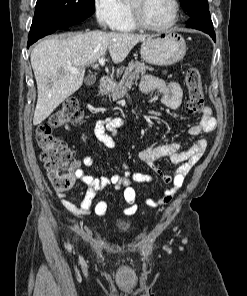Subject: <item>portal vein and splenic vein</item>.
Wrapping results in <instances>:
<instances>
[{
  "label": "portal vein and splenic vein",
  "instance_id": "obj_1",
  "mask_svg": "<svg viewBox=\"0 0 247 296\" xmlns=\"http://www.w3.org/2000/svg\"><path fill=\"white\" fill-rule=\"evenodd\" d=\"M98 61H99L100 65H102V66L105 65V59L103 57L99 58ZM69 71L72 73H77L79 70L76 68H70Z\"/></svg>",
  "mask_w": 247,
  "mask_h": 296
}]
</instances>
